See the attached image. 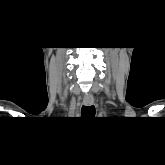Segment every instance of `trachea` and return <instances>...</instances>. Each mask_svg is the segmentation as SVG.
Masks as SVG:
<instances>
[{
	"instance_id": "3493384b",
	"label": "trachea",
	"mask_w": 165,
	"mask_h": 165,
	"mask_svg": "<svg viewBox=\"0 0 165 165\" xmlns=\"http://www.w3.org/2000/svg\"><path fill=\"white\" fill-rule=\"evenodd\" d=\"M82 117H94L95 107L94 106H83L81 110Z\"/></svg>"
}]
</instances>
